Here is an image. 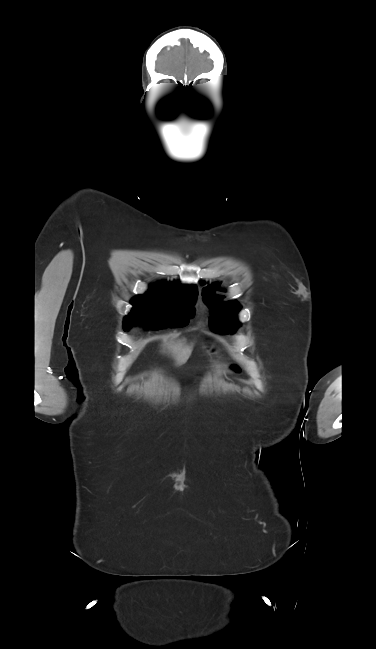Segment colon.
<instances>
[{"label":"colon","mask_w":376,"mask_h":649,"mask_svg":"<svg viewBox=\"0 0 376 649\" xmlns=\"http://www.w3.org/2000/svg\"><path fill=\"white\" fill-rule=\"evenodd\" d=\"M232 369H233L234 371H236V372L238 371V367H237V366H232Z\"/></svg>","instance_id":"1"}]
</instances>
